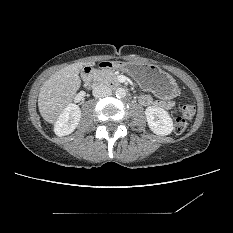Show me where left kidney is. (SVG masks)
Instances as JSON below:
<instances>
[{
	"label": "left kidney",
	"mask_w": 233,
	"mask_h": 233,
	"mask_svg": "<svg viewBox=\"0 0 233 233\" xmlns=\"http://www.w3.org/2000/svg\"><path fill=\"white\" fill-rule=\"evenodd\" d=\"M149 128L157 135H169L173 131V121L169 113L159 107L149 106L145 110Z\"/></svg>",
	"instance_id": "obj_1"
}]
</instances>
